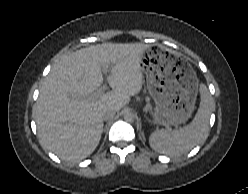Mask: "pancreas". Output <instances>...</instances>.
I'll list each match as a JSON object with an SVG mask.
<instances>
[{"instance_id": "obj_1", "label": "pancreas", "mask_w": 248, "mask_h": 194, "mask_svg": "<svg viewBox=\"0 0 248 194\" xmlns=\"http://www.w3.org/2000/svg\"><path fill=\"white\" fill-rule=\"evenodd\" d=\"M147 101H149V99L147 98ZM151 109V105L148 103L145 107V110L148 111Z\"/></svg>"}]
</instances>
